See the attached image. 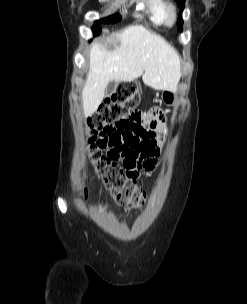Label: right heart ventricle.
Instances as JSON below:
<instances>
[{
  "label": "right heart ventricle",
  "instance_id": "1",
  "mask_svg": "<svg viewBox=\"0 0 247 304\" xmlns=\"http://www.w3.org/2000/svg\"><path fill=\"white\" fill-rule=\"evenodd\" d=\"M146 11L150 21L155 25L165 23L166 0H145Z\"/></svg>",
  "mask_w": 247,
  "mask_h": 304
}]
</instances>
